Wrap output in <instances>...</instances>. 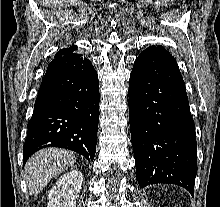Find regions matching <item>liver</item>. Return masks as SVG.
Returning a JSON list of instances; mask_svg holds the SVG:
<instances>
[{
  "label": "liver",
  "mask_w": 220,
  "mask_h": 207,
  "mask_svg": "<svg viewBox=\"0 0 220 207\" xmlns=\"http://www.w3.org/2000/svg\"><path fill=\"white\" fill-rule=\"evenodd\" d=\"M76 162L72 152L59 148H46L36 152L27 161L24 178L31 195H38L54 177Z\"/></svg>",
  "instance_id": "obj_1"
}]
</instances>
